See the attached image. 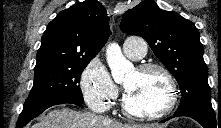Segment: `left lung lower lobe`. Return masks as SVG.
I'll use <instances>...</instances> for the list:
<instances>
[{"label": "left lung lower lobe", "instance_id": "obj_1", "mask_svg": "<svg viewBox=\"0 0 221 128\" xmlns=\"http://www.w3.org/2000/svg\"><path fill=\"white\" fill-rule=\"evenodd\" d=\"M179 116L191 117L195 119L197 122H199L204 128H217V127L221 128L220 117L218 116L217 119V116L215 115L213 109H205V108H192L180 113L175 112L174 116L161 121V123L171 118Z\"/></svg>", "mask_w": 221, "mask_h": 128}]
</instances>
